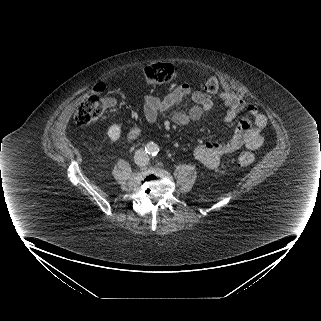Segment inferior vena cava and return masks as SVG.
<instances>
[{"instance_id":"1","label":"inferior vena cava","mask_w":321,"mask_h":321,"mask_svg":"<svg viewBox=\"0 0 321 321\" xmlns=\"http://www.w3.org/2000/svg\"><path fill=\"white\" fill-rule=\"evenodd\" d=\"M134 160L137 165L144 166L148 164L149 157L145 150L139 149L135 152Z\"/></svg>"}]
</instances>
